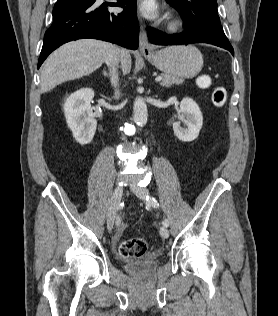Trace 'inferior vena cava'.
<instances>
[{
  "label": "inferior vena cava",
  "instance_id": "obj_1",
  "mask_svg": "<svg viewBox=\"0 0 278 316\" xmlns=\"http://www.w3.org/2000/svg\"><path fill=\"white\" fill-rule=\"evenodd\" d=\"M121 50L114 47L111 55L107 58L106 63L111 67L110 75H111V83L116 88L118 86V74L117 67L120 61ZM116 97H119V91L116 90Z\"/></svg>",
  "mask_w": 278,
  "mask_h": 316
}]
</instances>
